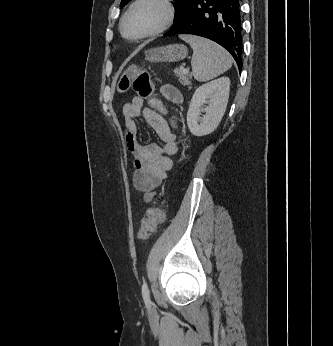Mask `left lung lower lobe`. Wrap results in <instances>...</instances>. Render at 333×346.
<instances>
[{
  "label": "left lung lower lobe",
  "mask_w": 333,
  "mask_h": 346,
  "mask_svg": "<svg viewBox=\"0 0 333 346\" xmlns=\"http://www.w3.org/2000/svg\"><path fill=\"white\" fill-rule=\"evenodd\" d=\"M192 34L223 46L242 68L240 0H193L185 16L164 35Z\"/></svg>",
  "instance_id": "1"
}]
</instances>
